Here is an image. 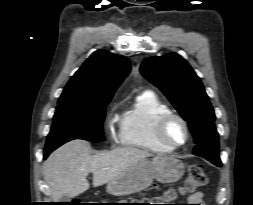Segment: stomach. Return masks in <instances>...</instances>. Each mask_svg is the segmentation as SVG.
<instances>
[{"mask_svg": "<svg viewBox=\"0 0 253 205\" xmlns=\"http://www.w3.org/2000/svg\"><path fill=\"white\" fill-rule=\"evenodd\" d=\"M185 165L170 156L143 158L107 184V192L114 196H125L140 192L156 179L161 183H173L181 179Z\"/></svg>", "mask_w": 253, "mask_h": 205, "instance_id": "obj_1", "label": "stomach"}]
</instances>
